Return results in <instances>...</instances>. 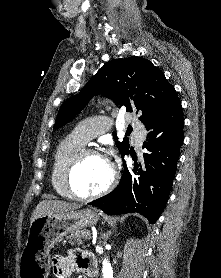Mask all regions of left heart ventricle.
I'll list each match as a JSON object with an SVG mask.
<instances>
[{
  "label": "left heart ventricle",
  "mask_w": 221,
  "mask_h": 278,
  "mask_svg": "<svg viewBox=\"0 0 221 278\" xmlns=\"http://www.w3.org/2000/svg\"><path fill=\"white\" fill-rule=\"evenodd\" d=\"M110 179L107 160L99 155H90L79 164L74 185L82 194H91L104 188Z\"/></svg>",
  "instance_id": "b2bd125f"
}]
</instances>
